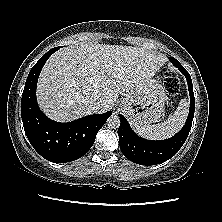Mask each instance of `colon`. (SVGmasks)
I'll use <instances>...</instances> for the list:
<instances>
[{"instance_id":"obj_1","label":"colon","mask_w":222,"mask_h":222,"mask_svg":"<svg viewBox=\"0 0 222 222\" xmlns=\"http://www.w3.org/2000/svg\"><path fill=\"white\" fill-rule=\"evenodd\" d=\"M163 84L166 92L169 95H176L180 91L181 82L179 77L171 71H168L164 75Z\"/></svg>"}]
</instances>
